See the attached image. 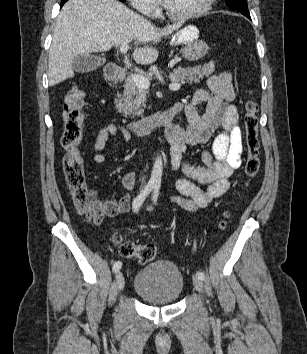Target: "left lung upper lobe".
<instances>
[{"label":"left lung upper lobe","instance_id":"obj_1","mask_svg":"<svg viewBox=\"0 0 307 354\" xmlns=\"http://www.w3.org/2000/svg\"><path fill=\"white\" fill-rule=\"evenodd\" d=\"M225 2L230 8L239 11L246 17H250L247 0H225Z\"/></svg>","mask_w":307,"mask_h":354}]
</instances>
